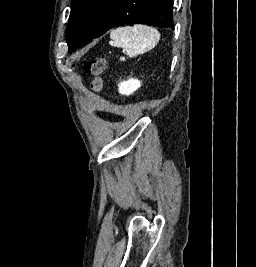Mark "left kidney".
Instances as JSON below:
<instances>
[{
    "label": "left kidney",
    "mask_w": 256,
    "mask_h": 267,
    "mask_svg": "<svg viewBox=\"0 0 256 267\" xmlns=\"http://www.w3.org/2000/svg\"><path fill=\"white\" fill-rule=\"evenodd\" d=\"M141 84L139 80H134V78H130L127 82H120L118 84L119 94H126V96H130L133 92H136L138 88H140Z\"/></svg>",
    "instance_id": "1"
}]
</instances>
